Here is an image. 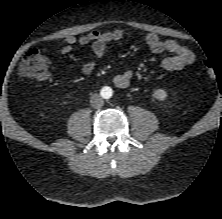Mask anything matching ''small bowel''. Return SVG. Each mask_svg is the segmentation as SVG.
<instances>
[{
	"instance_id": "1",
	"label": "small bowel",
	"mask_w": 222,
	"mask_h": 219,
	"mask_svg": "<svg viewBox=\"0 0 222 219\" xmlns=\"http://www.w3.org/2000/svg\"><path fill=\"white\" fill-rule=\"evenodd\" d=\"M123 37L124 32L121 29L102 32L92 31L81 37L67 36L61 51L63 53H69L75 45H90L94 57L87 60L82 66V72L85 75H90L96 68L97 59L105 55L107 45L111 42L119 41ZM145 42L150 50L156 54L169 53V55L162 61V67L165 70H181L194 62L195 56L193 52L175 40H162L157 34L148 33L145 37ZM133 76V71L127 69L124 72L117 74L113 78V83L118 88H126L131 83Z\"/></svg>"
}]
</instances>
